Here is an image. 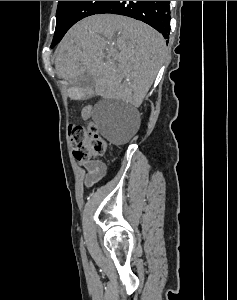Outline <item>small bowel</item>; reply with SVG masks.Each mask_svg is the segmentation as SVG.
Masks as SVG:
<instances>
[{
    "label": "small bowel",
    "instance_id": "1",
    "mask_svg": "<svg viewBox=\"0 0 237 300\" xmlns=\"http://www.w3.org/2000/svg\"><path fill=\"white\" fill-rule=\"evenodd\" d=\"M91 116V108L85 107L82 112L83 119L87 120ZM81 167L85 170L84 185L89 188L99 182L106 174V166L101 161L82 160Z\"/></svg>",
    "mask_w": 237,
    "mask_h": 300
}]
</instances>
